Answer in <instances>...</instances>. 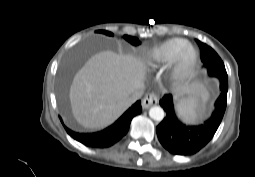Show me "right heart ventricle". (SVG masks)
Returning a JSON list of instances; mask_svg holds the SVG:
<instances>
[{"instance_id":"1","label":"right heart ventricle","mask_w":255,"mask_h":177,"mask_svg":"<svg viewBox=\"0 0 255 177\" xmlns=\"http://www.w3.org/2000/svg\"><path fill=\"white\" fill-rule=\"evenodd\" d=\"M186 42L182 38H171L154 46L147 54L149 63L153 66L168 65Z\"/></svg>"}]
</instances>
